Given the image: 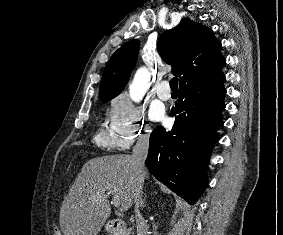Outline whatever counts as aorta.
<instances>
[{
    "label": "aorta",
    "instance_id": "1",
    "mask_svg": "<svg viewBox=\"0 0 283 235\" xmlns=\"http://www.w3.org/2000/svg\"><path fill=\"white\" fill-rule=\"evenodd\" d=\"M150 86V73L144 67L137 70L133 82L129 86V94L133 101L139 102Z\"/></svg>",
    "mask_w": 283,
    "mask_h": 235
}]
</instances>
